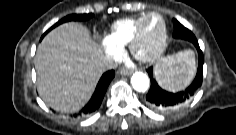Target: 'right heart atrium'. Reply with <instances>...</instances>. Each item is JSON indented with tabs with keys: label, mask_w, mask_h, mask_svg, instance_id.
Masks as SVG:
<instances>
[{
	"label": "right heart atrium",
	"mask_w": 236,
	"mask_h": 135,
	"mask_svg": "<svg viewBox=\"0 0 236 135\" xmlns=\"http://www.w3.org/2000/svg\"><path fill=\"white\" fill-rule=\"evenodd\" d=\"M99 43L110 61L118 60L121 57V48L111 43L108 37L100 38Z\"/></svg>",
	"instance_id": "obj_1"
}]
</instances>
